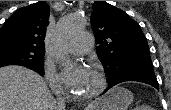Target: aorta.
<instances>
[{"mask_svg": "<svg viewBox=\"0 0 171 110\" xmlns=\"http://www.w3.org/2000/svg\"><path fill=\"white\" fill-rule=\"evenodd\" d=\"M86 20L83 16L74 14L64 16L57 25L55 41L57 45L56 58L60 61L66 59L65 54L60 49L61 44L67 41L71 36L84 29Z\"/></svg>", "mask_w": 171, "mask_h": 110, "instance_id": "762f6f07", "label": "aorta"}]
</instances>
